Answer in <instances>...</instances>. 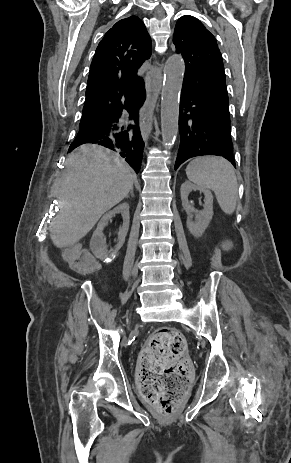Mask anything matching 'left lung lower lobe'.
I'll use <instances>...</instances> for the list:
<instances>
[{"instance_id":"1","label":"left lung lower lobe","mask_w":291,"mask_h":463,"mask_svg":"<svg viewBox=\"0 0 291 463\" xmlns=\"http://www.w3.org/2000/svg\"><path fill=\"white\" fill-rule=\"evenodd\" d=\"M179 134L175 170L186 160L204 155L222 156L235 166L230 115L184 89L180 98Z\"/></svg>"}]
</instances>
